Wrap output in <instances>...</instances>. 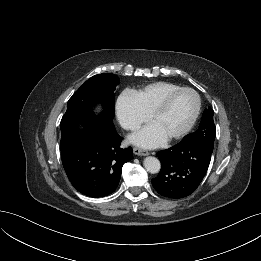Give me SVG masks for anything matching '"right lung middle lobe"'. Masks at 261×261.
<instances>
[{
    "label": "right lung middle lobe",
    "mask_w": 261,
    "mask_h": 261,
    "mask_svg": "<svg viewBox=\"0 0 261 261\" xmlns=\"http://www.w3.org/2000/svg\"><path fill=\"white\" fill-rule=\"evenodd\" d=\"M119 78L111 73L98 74L88 79L72 95L67 104V111L62 117L60 128L95 119L112 120L114 118V90ZM100 102L104 110L96 116L93 108Z\"/></svg>",
    "instance_id": "right-lung-middle-lobe-1"
}]
</instances>
